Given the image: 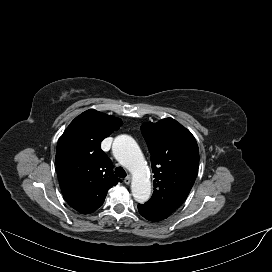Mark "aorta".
I'll use <instances>...</instances> for the list:
<instances>
[{"instance_id": "obj_1", "label": "aorta", "mask_w": 272, "mask_h": 272, "mask_svg": "<svg viewBox=\"0 0 272 272\" xmlns=\"http://www.w3.org/2000/svg\"><path fill=\"white\" fill-rule=\"evenodd\" d=\"M113 155L133 175L131 191L139 203L146 202L151 195V182L147 174V166L136 141L129 135H119L112 146Z\"/></svg>"}]
</instances>
